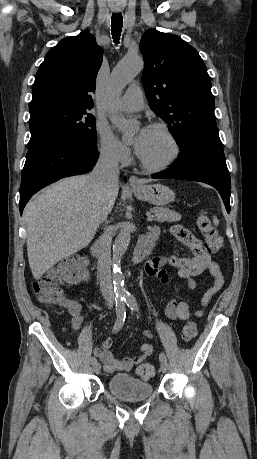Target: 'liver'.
<instances>
[{
  "label": "liver",
  "mask_w": 257,
  "mask_h": 459,
  "mask_svg": "<svg viewBox=\"0 0 257 459\" xmlns=\"http://www.w3.org/2000/svg\"><path fill=\"white\" fill-rule=\"evenodd\" d=\"M119 185L101 192L92 174L60 180L25 207L27 253L36 280L60 260L86 247L93 239L102 208L111 212Z\"/></svg>",
  "instance_id": "1"
}]
</instances>
